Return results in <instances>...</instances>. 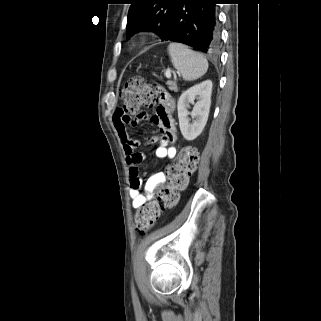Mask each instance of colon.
<instances>
[{"label": "colon", "mask_w": 321, "mask_h": 321, "mask_svg": "<svg viewBox=\"0 0 321 321\" xmlns=\"http://www.w3.org/2000/svg\"><path fill=\"white\" fill-rule=\"evenodd\" d=\"M150 85L142 77L129 80L122 91L124 106L121 110L124 113L133 114L154 103L157 93L150 88ZM198 163L199 153L195 147L181 148L176 161L168 168V184L160 189L153 201L137 211L136 230L141 233L148 231L158 221L162 212L177 204L180 191L186 188L189 177L196 171Z\"/></svg>", "instance_id": "1"}]
</instances>
